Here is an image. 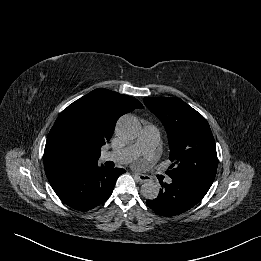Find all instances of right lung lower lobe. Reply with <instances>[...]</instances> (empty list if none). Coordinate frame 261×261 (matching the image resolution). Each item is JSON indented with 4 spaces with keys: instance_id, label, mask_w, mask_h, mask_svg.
<instances>
[{
    "instance_id": "obj_1",
    "label": "right lung lower lobe",
    "mask_w": 261,
    "mask_h": 261,
    "mask_svg": "<svg viewBox=\"0 0 261 261\" xmlns=\"http://www.w3.org/2000/svg\"><path fill=\"white\" fill-rule=\"evenodd\" d=\"M124 172L121 168L109 169L95 164L65 173L49 182L66 205L86 212L109 198L117 178Z\"/></svg>"
}]
</instances>
